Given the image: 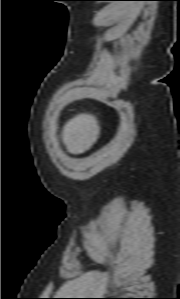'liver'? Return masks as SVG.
<instances>
[{
  "instance_id": "liver-1",
  "label": "liver",
  "mask_w": 180,
  "mask_h": 299,
  "mask_svg": "<svg viewBox=\"0 0 180 299\" xmlns=\"http://www.w3.org/2000/svg\"><path fill=\"white\" fill-rule=\"evenodd\" d=\"M100 127L92 114H79L70 119L63 127L61 137L68 152L82 154L97 141Z\"/></svg>"
}]
</instances>
